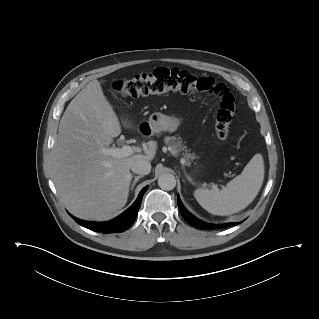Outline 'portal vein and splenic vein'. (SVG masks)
Listing matches in <instances>:
<instances>
[{
    "instance_id": "1",
    "label": "portal vein and splenic vein",
    "mask_w": 319,
    "mask_h": 319,
    "mask_svg": "<svg viewBox=\"0 0 319 319\" xmlns=\"http://www.w3.org/2000/svg\"><path fill=\"white\" fill-rule=\"evenodd\" d=\"M101 152L114 158H125L137 152V149L129 145H124L122 148H103ZM172 154H175V152H172Z\"/></svg>"
}]
</instances>
